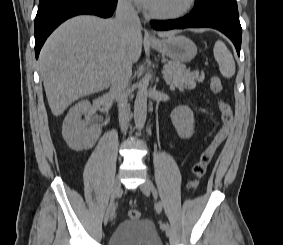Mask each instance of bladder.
I'll return each instance as SVG.
<instances>
[{
    "instance_id": "bladder-1",
    "label": "bladder",
    "mask_w": 283,
    "mask_h": 245,
    "mask_svg": "<svg viewBox=\"0 0 283 245\" xmlns=\"http://www.w3.org/2000/svg\"><path fill=\"white\" fill-rule=\"evenodd\" d=\"M108 245H163L152 220L130 219L118 224L108 239Z\"/></svg>"
}]
</instances>
